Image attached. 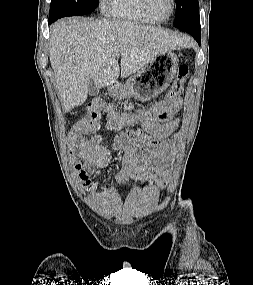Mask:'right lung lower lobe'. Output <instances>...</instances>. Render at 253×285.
I'll return each mask as SVG.
<instances>
[{"label":"right lung lower lobe","instance_id":"1","mask_svg":"<svg viewBox=\"0 0 253 285\" xmlns=\"http://www.w3.org/2000/svg\"><path fill=\"white\" fill-rule=\"evenodd\" d=\"M57 19L54 18H49V24H51L52 22L56 21Z\"/></svg>","mask_w":253,"mask_h":285}]
</instances>
